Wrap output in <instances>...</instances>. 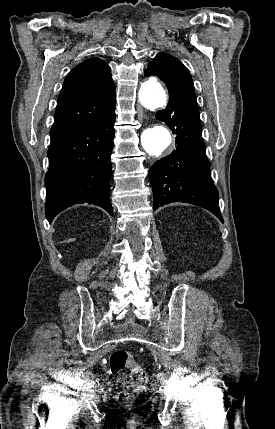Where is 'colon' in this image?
Here are the masks:
<instances>
[{
    "label": "colon",
    "instance_id": "obj_1",
    "mask_svg": "<svg viewBox=\"0 0 275 429\" xmlns=\"http://www.w3.org/2000/svg\"><path fill=\"white\" fill-rule=\"evenodd\" d=\"M109 367L111 373L123 386V389L117 394V400L122 404L134 401L135 394L141 391L147 382L146 372L131 353L124 349L111 353Z\"/></svg>",
    "mask_w": 275,
    "mask_h": 429
}]
</instances>
